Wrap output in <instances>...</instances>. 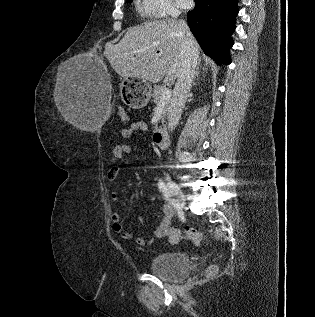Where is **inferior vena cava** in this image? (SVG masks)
Here are the masks:
<instances>
[{
    "label": "inferior vena cava",
    "mask_w": 315,
    "mask_h": 317,
    "mask_svg": "<svg viewBox=\"0 0 315 317\" xmlns=\"http://www.w3.org/2000/svg\"><path fill=\"white\" fill-rule=\"evenodd\" d=\"M178 16V12H174L172 14L173 18H177ZM179 23L181 25V34H183V41L181 45V55L183 60L182 69L177 78L171 105L168 111V129L171 131L179 122L185 101L188 97V93L190 92L198 60V55L193 50L192 42L185 34L188 26L182 20H180Z\"/></svg>",
    "instance_id": "inferior-vena-cava-1"
}]
</instances>
